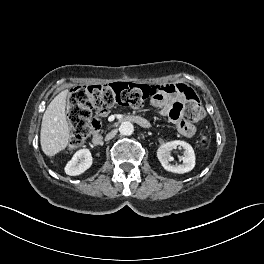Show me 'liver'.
I'll list each match as a JSON object with an SVG mask.
<instances>
[{
	"mask_svg": "<svg viewBox=\"0 0 264 264\" xmlns=\"http://www.w3.org/2000/svg\"><path fill=\"white\" fill-rule=\"evenodd\" d=\"M68 90L60 92L48 105L41 124L40 143L44 154L54 156L69 144V126L65 108Z\"/></svg>",
	"mask_w": 264,
	"mask_h": 264,
	"instance_id": "1",
	"label": "liver"
}]
</instances>
